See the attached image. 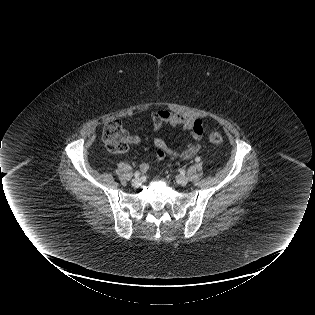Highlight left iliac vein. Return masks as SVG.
I'll list each match as a JSON object with an SVG mask.
<instances>
[{"label": "left iliac vein", "instance_id": "4c4485c4", "mask_svg": "<svg viewBox=\"0 0 315 315\" xmlns=\"http://www.w3.org/2000/svg\"><path fill=\"white\" fill-rule=\"evenodd\" d=\"M189 179L187 176L185 175H179L177 177V182L178 184H181V185H186L188 183Z\"/></svg>", "mask_w": 315, "mask_h": 315}]
</instances>
